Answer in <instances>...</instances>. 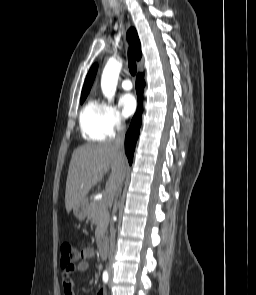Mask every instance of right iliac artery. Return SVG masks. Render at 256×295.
Wrapping results in <instances>:
<instances>
[{
  "label": "right iliac artery",
  "mask_w": 256,
  "mask_h": 295,
  "mask_svg": "<svg viewBox=\"0 0 256 295\" xmlns=\"http://www.w3.org/2000/svg\"><path fill=\"white\" fill-rule=\"evenodd\" d=\"M102 278H103V282L104 283H107L108 282L109 275H108V272L106 270L103 272Z\"/></svg>",
  "instance_id": "82829eb1"
}]
</instances>
